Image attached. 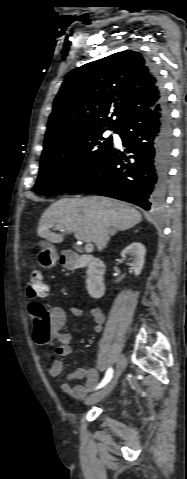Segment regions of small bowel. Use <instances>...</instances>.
Here are the masks:
<instances>
[{"label": "small bowel", "instance_id": "1", "mask_svg": "<svg viewBox=\"0 0 187 479\" xmlns=\"http://www.w3.org/2000/svg\"><path fill=\"white\" fill-rule=\"evenodd\" d=\"M31 310V309H29ZM69 312L80 317L83 315V310L79 307H69ZM50 326L47 330H39L41 336L51 333L56 341L55 352L60 357H66L72 354L71 335L64 332L63 326L66 322L65 310L61 307H52L49 310ZM90 317L93 322V329L95 332H100L104 322V314L99 307H93L90 310ZM63 370V363L60 360H53L49 366L48 372L51 377H58ZM85 378V385H74L73 382ZM99 373L95 368L84 365L73 371L64 381L60 389L62 393L68 398L80 399L85 397L99 382Z\"/></svg>", "mask_w": 187, "mask_h": 479}]
</instances>
